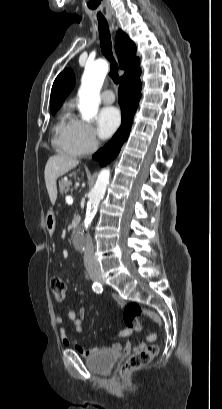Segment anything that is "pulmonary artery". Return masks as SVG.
Wrapping results in <instances>:
<instances>
[{"label": "pulmonary artery", "instance_id": "e3ab8cb5", "mask_svg": "<svg viewBox=\"0 0 222 409\" xmlns=\"http://www.w3.org/2000/svg\"><path fill=\"white\" fill-rule=\"evenodd\" d=\"M101 99L105 104H111L114 102L115 97L111 90H104L101 93Z\"/></svg>", "mask_w": 222, "mask_h": 409}]
</instances>
